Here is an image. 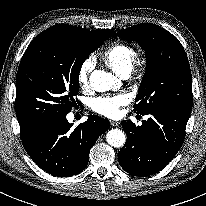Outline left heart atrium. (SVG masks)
I'll use <instances>...</instances> for the list:
<instances>
[{
  "mask_svg": "<svg viewBox=\"0 0 206 206\" xmlns=\"http://www.w3.org/2000/svg\"><path fill=\"white\" fill-rule=\"evenodd\" d=\"M130 102V96L126 93L114 96L95 98L92 101V109L103 116L116 118L121 115V108Z\"/></svg>",
  "mask_w": 206,
  "mask_h": 206,
  "instance_id": "obj_1",
  "label": "left heart atrium"
}]
</instances>
